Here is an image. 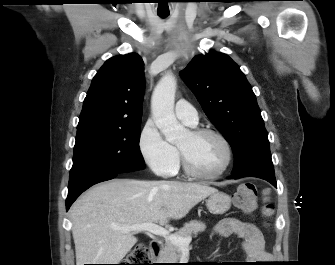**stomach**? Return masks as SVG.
Masks as SVG:
<instances>
[{"mask_svg":"<svg viewBox=\"0 0 335 265\" xmlns=\"http://www.w3.org/2000/svg\"><path fill=\"white\" fill-rule=\"evenodd\" d=\"M206 206L212 214H224L231 207V197L224 192L216 191L209 195Z\"/></svg>","mask_w":335,"mask_h":265,"instance_id":"1","label":"stomach"}]
</instances>
